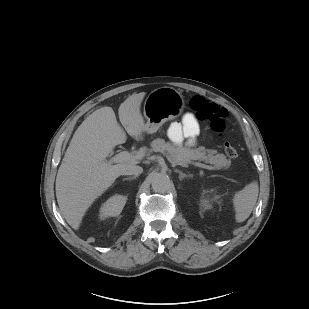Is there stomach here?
<instances>
[{"instance_id":"obj_1","label":"stomach","mask_w":309,"mask_h":309,"mask_svg":"<svg viewBox=\"0 0 309 309\" xmlns=\"http://www.w3.org/2000/svg\"><path fill=\"white\" fill-rule=\"evenodd\" d=\"M184 99L172 87H160L151 91L144 102L145 131L155 133L166 121L180 116Z\"/></svg>"}]
</instances>
